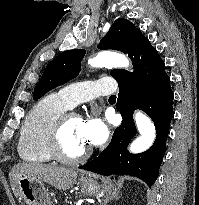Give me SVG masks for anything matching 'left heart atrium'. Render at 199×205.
<instances>
[{"mask_svg": "<svg viewBox=\"0 0 199 205\" xmlns=\"http://www.w3.org/2000/svg\"><path fill=\"white\" fill-rule=\"evenodd\" d=\"M80 132L86 143L100 145L108 138V127L99 118H89L81 121Z\"/></svg>", "mask_w": 199, "mask_h": 205, "instance_id": "39dd6f15", "label": "left heart atrium"}]
</instances>
